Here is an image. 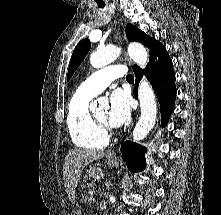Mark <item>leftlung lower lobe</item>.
I'll return each mask as SVG.
<instances>
[{
  "label": "left lung lower lobe",
  "instance_id": "obj_1",
  "mask_svg": "<svg viewBox=\"0 0 221 215\" xmlns=\"http://www.w3.org/2000/svg\"><path fill=\"white\" fill-rule=\"evenodd\" d=\"M133 70L136 76L134 95L137 98L138 84L143 71L139 67ZM144 72L159 100L161 125L166 126L175 108L176 87L172 60L162 44L150 57ZM121 152L130 171L138 172L145 168L144 147L127 141L122 145Z\"/></svg>",
  "mask_w": 221,
  "mask_h": 215
}]
</instances>
